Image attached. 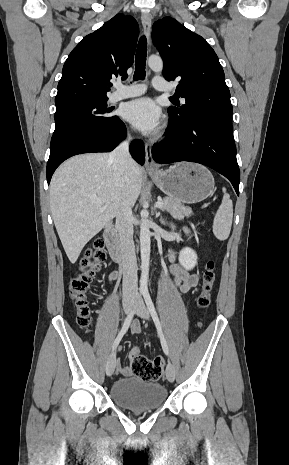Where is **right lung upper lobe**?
<instances>
[{
    "label": "right lung upper lobe",
    "instance_id": "cb5924a9",
    "mask_svg": "<svg viewBox=\"0 0 289 465\" xmlns=\"http://www.w3.org/2000/svg\"><path fill=\"white\" fill-rule=\"evenodd\" d=\"M138 34V24L133 17L117 14L85 36L65 61L55 104L108 99L110 79L127 78Z\"/></svg>",
    "mask_w": 289,
    "mask_h": 465
}]
</instances>
